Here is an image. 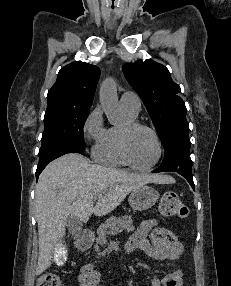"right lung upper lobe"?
Instances as JSON below:
<instances>
[{
  "mask_svg": "<svg viewBox=\"0 0 231 286\" xmlns=\"http://www.w3.org/2000/svg\"><path fill=\"white\" fill-rule=\"evenodd\" d=\"M100 69L81 61L64 66L47 95V108H90Z\"/></svg>",
  "mask_w": 231,
  "mask_h": 286,
  "instance_id": "right-lung-upper-lobe-1",
  "label": "right lung upper lobe"
}]
</instances>
